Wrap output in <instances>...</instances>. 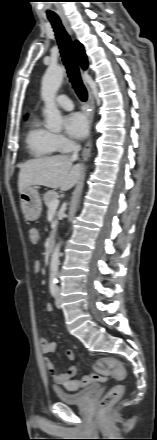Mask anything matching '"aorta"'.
Here are the masks:
<instances>
[{"mask_svg":"<svg viewBox=\"0 0 157 440\" xmlns=\"http://www.w3.org/2000/svg\"><path fill=\"white\" fill-rule=\"evenodd\" d=\"M64 73L65 69L62 66H49L42 79L41 97L45 103L46 125L52 131L62 129V116L55 103V96L63 81ZM60 246L61 243H58L51 255L50 279L52 281L56 280L58 275Z\"/></svg>","mask_w":157,"mask_h":440,"instance_id":"aorta-1","label":"aorta"}]
</instances>
